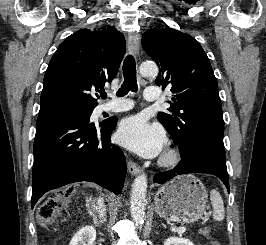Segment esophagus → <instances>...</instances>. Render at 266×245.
Instances as JSON below:
<instances>
[{"mask_svg":"<svg viewBox=\"0 0 266 245\" xmlns=\"http://www.w3.org/2000/svg\"><path fill=\"white\" fill-rule=\"evenodd\" d=\"M127 48L129 52L133 55H138L139 53V36L136 32H130L127 38ZM129 172L131 175H138L140 173V167L136 163L129 161Z\"/></svg>","mask_w":266,"mask_h":245,"instance_id":"34e87169","label":"esophagus"}]
</instances>
